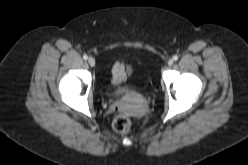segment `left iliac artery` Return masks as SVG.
Masks as SVG:
<instances>
[{"mask_svg":"<svg viewBox=\"0 0 248 165\" xmlns=\"http://www.w3.org/2000/svg\"><path fill=\"white\" fill-rule=\"evenodd\" d=\"M173 59L176 61V60H178V56L177 55H174L173 56Z\"/></svg>","mask_w":248,"mask_h":165,"instance_id":"obj_1","label":"left iliac artery"}]
</instances>
